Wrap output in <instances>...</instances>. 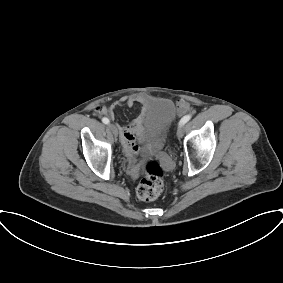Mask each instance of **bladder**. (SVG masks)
I'll return each instance as SVG.
<instances>
[{
  "mask_svg": "<svg viewBox=\"0 0 283 283\" xmlns=\"http://www.w3.org/2000/svg\"><path fill=\"white\" fill-rule=\"evenodd\" d=\"M175 118V106L171 100H162L150 109L146 115L144 126L153 131L156 138L161 139L171 128Z\"/></svg>",
  "mask_w": 283,
  "mask_h": 283,
  "instance_id": "1",
  "label": "bladder"
}]
</instances>
